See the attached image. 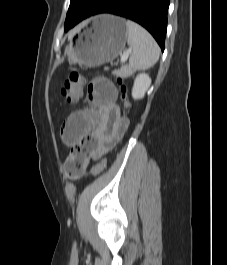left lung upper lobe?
I'll use <instances>...</instances> for the list:
<instances>
[{
    "label": "left lung upper lobe",
    "mask_w": 227,
    "mask_h": 265,
    "mask_svg": "<svg viewBox=\"0 0 227 265\" xmlns=\"http://www.w3.org/2000/svg\"><path fill=\"white\" fill-rule=\"evenodd\" d=\"M105 0H71L64 24L65 30L89 17Z\"/></svg>",
    "instance_id": "left-lung-upper-lobe-1"
}]
</instances>
